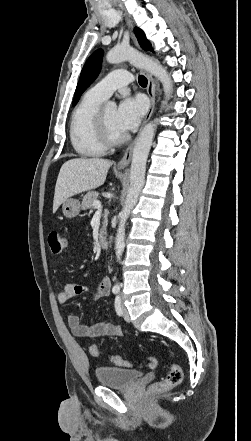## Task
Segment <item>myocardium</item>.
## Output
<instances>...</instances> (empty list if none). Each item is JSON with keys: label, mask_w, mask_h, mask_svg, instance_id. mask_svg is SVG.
I'll return each mask as SVG.
<instances>
[{"label": "myocardium", "mask_w": 251, "mask_h": 441, "mask_svg": "<svg viewBox=\"0 0 251 441\" xmlns=\"http://www.w3.org/2000/svg\"><path fill=\"white\" fill-rule=\"evenodd\" d=\"M95 125H96L97 135L100 141L107 148L120 145L124 143L127 139V136L125 134L119 137H114L110 134L104 120L102 109H100L96 115Z\"/></svg>", "instance_id": "obj_1"}]
</instances>
